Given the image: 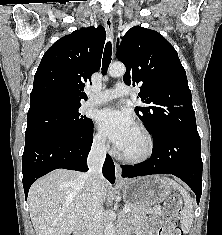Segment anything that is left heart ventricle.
Returning a JSON list of instances; mask_svg holds the SVG:
<instances>
[{
	"label": "left heart ventricle",
	"mask_w": 222,
	"mask_h": 235,
	"mask_svg": "<svg viewBox=\"0 0 222 235\" xmlns=\"http://www.w3.org/2000/svg\"><path fill=\"white\" fill-rule=\"evenodd\" d=\"M147 149V141L145 137L134 128L129 140L125 147L121 150V153L131 156H138L143 154Z\"/></svg>",
	"instance_id": "left-heart-ventricle-1"
}]
</instances>
